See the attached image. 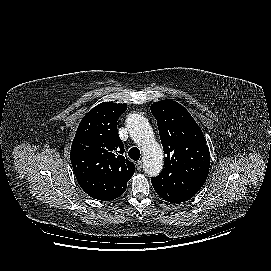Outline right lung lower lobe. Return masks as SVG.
<instances>
[{
  "mask_svg": "<svg viewBox=\"0 0 271 271\" xmlns=\"http://www.w3.org/2000/svg\"><path fill=\"white\" fill-rule=\"evenodd\" d=\"M80 187L92 198L109 201L122 195L125 190V184L97 177H76Z\"/></svg>",
  "mask_w": 271,
  "mask_h": 271,
  "instance_id": "obj_1",
  "label": "right lung lower lobe"
}]
</instances>
